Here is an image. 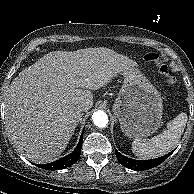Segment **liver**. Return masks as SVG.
I'll list each match as a JSON object with an SVG mask.
<instances>
[{
    "mask_svg": "<svg viewBox=\"0 0 194 194\" xmlns=\"http://www.w3.org/2000/svg\"><path fill=\"white\" fill-rule=\"evenodd\" d=\"M136 68L108 48L53 51L22 70L5 99V124L13 145L29 160L49 163L67 147L98 90L119 73Z\"/></svg>",
    "mask_w": 194,
    "mask_h": 194,
    "instance_id": "obj_1",
    "label": "liver"
}]
</instances>
